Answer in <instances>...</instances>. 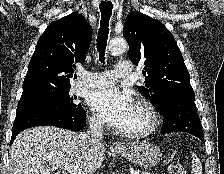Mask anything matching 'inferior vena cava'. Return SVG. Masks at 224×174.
<instances>
[{"label": "inferior vena cava", "instance_id": "602c4592", "mask_svg": "<svg viewBox=\"0 0 224 174\" xmlns=\"http://www.w3.org/2000/svg\"><path fill=\"white\" fill-rule=\"evenodd\" d=\"M103 133V122L97 118L89 120V129L86 133L81 134V138L91 147L101 146Z\"/></svg>", "mask_w": 224, "mask_h": 174}]
</instances>
